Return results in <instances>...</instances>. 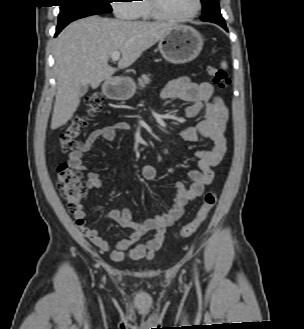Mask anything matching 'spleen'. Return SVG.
I'll use <instances>...</instances> for the list:
<instances>
[{
	"instance_id": "3e777b00",
	"label": "spleen",
	"mask_w": 304,
	"mask_h": 329,
	"mask_svg": "<svg viewBox=\"0 0 304 329\" xmlns=\"http://www.w3.org/2000/svg\"><path fill=\"white\" fill-rule=\"evenodd\" d=\"M221 66H222V68L226 69V68H227V63H226V61H223V62L221 63Z\"/></svg>"
}]
</instances>
